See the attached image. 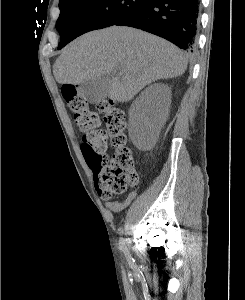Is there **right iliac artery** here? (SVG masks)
Masks as SVG:
<instances>
[{
    "instance_id": "82829eb1",
    "label": "right iliac artery",
    "mask_w": 245,
    "mask_h": 300,
    "mask_svg": "<svg viewBox=\"0 0 245 300\" xmlns=\"http://www.w3.org/2000/svg\"><path fill=\"white\" fill-rule=\"evenodd\" d=\"M120 233L123 234V229L120 228ZM119 249L124 252L125 254L127 253V248H126V245H125V239L123 237H121L119 239Z\"/></svg>"
}]
</instances>
